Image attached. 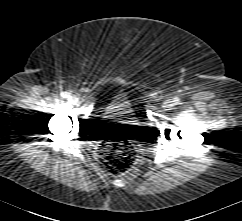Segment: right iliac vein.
I'll return each mask as SVG.
<instances>
[{"mask_svg": "<svg viewBox=\"0 0 242 221\" xmlns=\"http://www.w3.org/2000/svg\"><path fill=\"white\" fill-rule=\"evenodd\" d=\"M71 101H72L73 103H76V102H77V98H76V97H71Z\"/></svg>", "mask_w": 242, "mask_h": 221, "instance_id": "1", "label": "right iliac vein"}]
</instances>
